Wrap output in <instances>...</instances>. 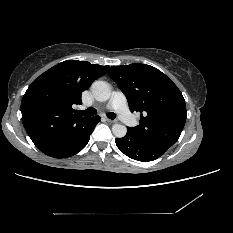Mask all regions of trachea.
Returning a JSON list of instances; mask_svg holds the SVG:
<instances>
[{
  "label": "trachea",
  "mask_w": 233,
  "mask_h": 233,
  "mask_svg": "<svg viewBox=\"0 0 233 233\" xmlns=\"http://www.w3.org/2000/svg\"><path fill=\"white\" fill-rule=\"evenodd\" d=\"M96 112H97V110L95 108H93V107H90V108H88V109H86L84 111H76L77 114L84 115V116H93V115L96 114ZM107 117L109 119L113 120V119L116 118V114L113 113V112H109V113H107Z\"/></svg>",
  "instance_id": "3493384b"
}]
</instances>
